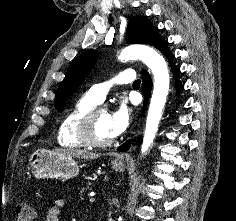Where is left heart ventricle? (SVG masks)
Returning <instances> with one entry per match:
<instances>
[{
    "label": "left heart ventricle",
    "instance_id": "obj_1",
    "mask_svg": "<svg viewBox=\"0 0 236 221\" xmlns=\"http://www.w3.org/2000/svg\"><path fill=\"white\" fill-rule=\"evenodd\" d=\"M95 132L99 139L105 140L114 137L111 129L110 114L108 111H102L97 117Z\"/></svg>",
    "mask_w": 236,
    "mask_h": 221
}]
</instances>
